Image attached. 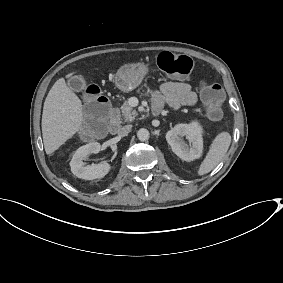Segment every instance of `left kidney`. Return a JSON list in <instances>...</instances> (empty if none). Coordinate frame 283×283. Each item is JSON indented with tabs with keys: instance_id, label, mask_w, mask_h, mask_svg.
<instances>
[{
	"instance_id": "left-kidney-1",
	"label": "left kidney",
	"mask_w": 283,
	"mask_h": 283,
	"mask_svg": "<svg viewBox=\"0 0 283 283\" xmlns=\"http://www.w3.org/2000/svg\"><path fill=\"white\" fill-rule=\"evenodd\" d=\"M203 128L193 121L190 124H177L166 134V140L171 146L172 151L185 161L198 159L203 151ZM186 136L190 146L182 139Z\"/></svg>"
}]
</instances>
